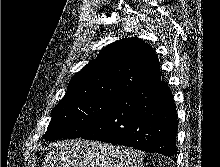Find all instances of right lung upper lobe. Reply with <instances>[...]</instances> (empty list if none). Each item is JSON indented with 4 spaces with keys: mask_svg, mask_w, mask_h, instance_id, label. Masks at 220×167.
<instances>
[{
    "mask_svg": "<svg viewBox=\"0 0 220 167\" xmlns=\"http://www.w3.org/2000/svg\"><path fill=\"white\" fill-rule=\"evenodd\" d=\"M160 64L151 46L137 37L106 46L79 71L62 99L85 96L116 97L161 79Z\"/></svg>",
    "mask_w": 220,
    "mask_h": 167,
    "instance_id": "obj_1",
    "label": "right lung upper lobe"
}]
</instances>
